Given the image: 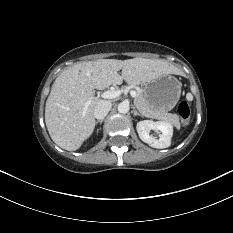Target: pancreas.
Segmentation results:
<instances>
[{
    "instance_id": "cf45deb5",
    "label": "pancreas",
    "mask_w": 233,
    "mask_h": 233,
    "mask_svg": "<svg viewBox=\"0 0 233 233\" xmlns=\"http://www.w3.org/2000/svg\"><path fill=\"white\" fill-rule=\"evenodd\" d=\"M134 104L142 115L150 118L163 119L166 122L174 125L176 128H180V121L178 115L163 112L156 108H151L142 92H137V96L134 98Z\"/></svg>"
}]
</instances>
